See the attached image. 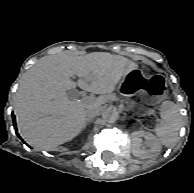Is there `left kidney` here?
I'll use <instances>...</instances> for the list:
<instances>
[{
  "label": "left kidney",
  "instance_id": "obj_1",
  "mask_svg": "<svg viewBox=\"0 0 194 193\" xmlns=\"http://www.w3.org/2000/svg\"><path fill=\"white\" fill-rule=\"evenodd\" d=\"M141 137L146 139L149 149L142 147ZM161 147L160 141L150 132L138 130L132 133V153L138 158L147 159L156 157L160 154Z\"/></svg>",
  "mask_w": 194,
  "mask_h": 193
}]
</instances>
